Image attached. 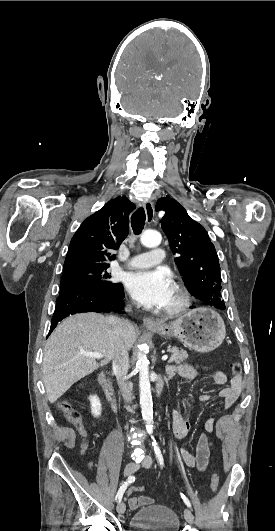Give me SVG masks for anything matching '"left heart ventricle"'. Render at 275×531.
<instances>
[{
  "instance_id": "b2bd125f",
  "label": "left heart ventricle",
  "mask_w": 275,
  "mask_h": 531,
  "mask_svg": "<svg viewBox=\"0 0 275 531\" xmlns=\"http://www.w3.org/2000/svg\"><path fill=\"white\" fill-rule=\"evenodd\" d=\"M176 297H177V294H176L174 288L172 287L171 292H170V294H169V297H168V299H167V302H166L165 305L162 307V309H164V308L170 306L171 304H173L174 301L176 300Z\"/></svg>"
}]
</instances>
